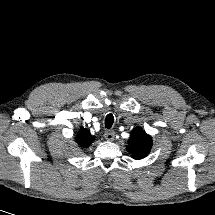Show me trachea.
<instances>
[{
  "label": "trachea",
  "instance_id": "obj_1",
  "mask_svg": "<svg viewBox=\"0 0 215 215\" xmlns=\"http://www.w3.org/2000/svg\"><path fill=\"white\" fill-rule=\"evenodd\" d=\"M114 123V117L112 114H108L105 118V127L110 129Z\"/></svg>",
  "mask_w": 215,
  "mask_h": 215
}]
</instances>
